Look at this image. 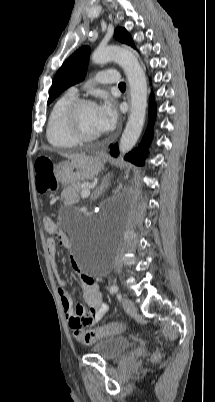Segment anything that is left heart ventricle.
<instances>
[{
  "label": "left heart ventricle",
  "mask_w": 215,
  "mask_h": 402,
  "mask_svg": "<svg viewBox=\"0 0 215 402\" xmlns=\"http://www.w3.org/2000/svg\"><path fill=\"white\" fill-rule=\"evenodd\" d=\"M81 130L87 135L99 134L96 123V106L88 105L82 108L79 115Z\"/></svg>",
  "instance_id": "left-heart-ventricle-1"
}]
</instances>
